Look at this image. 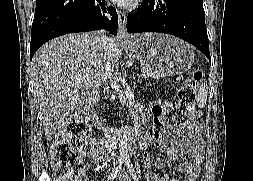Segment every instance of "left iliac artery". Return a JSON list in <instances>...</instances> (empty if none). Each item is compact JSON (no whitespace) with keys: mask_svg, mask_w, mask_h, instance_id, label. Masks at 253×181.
<instances>
[{"mask_svg":"<svg viewBox=\"0 0 253 181\" xmlns=\"http://www.w3.org/2000/svg\"><path fill=\"white\" fill-rule=\"evenodd\" d=\"M125 162H126L127 167L130 168V171L132 172V177H133L134 181H138L136 173L134 172V169H132V164H131L130 159L126 160Z\"/></svg>","mask_w":253,"mask_h":181,"instance_id":"left-iliac-artery-1","label":"left iliac artery"}]
</instances>
